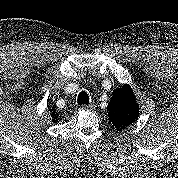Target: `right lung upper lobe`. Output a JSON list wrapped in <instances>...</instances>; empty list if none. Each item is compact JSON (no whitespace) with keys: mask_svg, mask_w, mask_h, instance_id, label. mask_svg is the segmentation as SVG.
Wrapping results in <instances>:
<instances>
[{"mask_svg":"<svg viewBox=\"0 0 178 178\" xmlns=\"http://www.w3.org/2000/svg\"><path fill=\"white\" fill-rule=\"evenodd\" d=\"M49 111L52 112L51 116H53V122H57V120H58V116L56 115V112H53L52 109H50Z\"/></svg>","mask_w":178,"mask_h":178,"instance_id":"cb5924a9","label":"right lung upper lobe"}]
</instances>
